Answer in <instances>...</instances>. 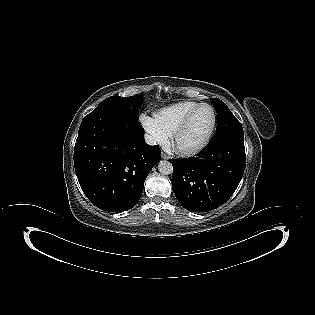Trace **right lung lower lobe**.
Returning <instances> with one entry per match:
<instances>
[{
    "instance_id": "98d812e1",
    "label": "right lung lower lobe",
    "mask_w": 315,
    "mask_h": 315,
    "mask_svg": "<svg viewBox=\"0 0 315 315\" xmlns=\"http://www.w3.org/2000/svg\"><path fill=\"white\" fill-rule=\"evenodd\" d=\"M138 120L112 111H92L82 120L74 166L86 197L99 209L133 208L150 170L160 161L158 146L148 145Z\"/></svg>"
}]
</instances>
